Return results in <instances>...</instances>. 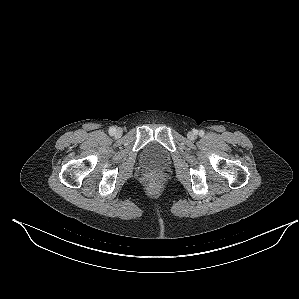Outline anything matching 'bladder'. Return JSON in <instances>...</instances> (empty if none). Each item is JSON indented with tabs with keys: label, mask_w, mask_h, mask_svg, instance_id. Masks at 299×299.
<instances>
[{
	"label": "bladder",
	"mask_w": 299,
	"mask_h": 299,
	"mask_svg": "<svg viewBox=\"0 0 299 299\" xmlns=\"http://www.w3.org/2000/svg\"><path fill=\"white\" fill-rule=\"evenodd\" d=\"M144 161L154 167H161L168 162L167 152L157 144H149L143 151Z\"/></svg>",
	"instance_id": "31cf9c89"
}]
</instances>
